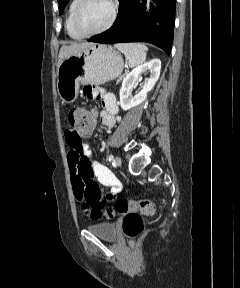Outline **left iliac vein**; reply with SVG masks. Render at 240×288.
Segmentation results:
<instances>
[{
	"instance_id": "left-iliac-vein-1",
	"label": "left iliac vein",
	"mask_w": 240,
	"mask_h": 288,
	"mask_svg": "<svg viewBox=\"0 0 240 288\" xmlns=\"http://www.w3.org/2000/svg\"><path fill=\"white\" fill-rule=\"evenodd\" d=\"M114 162H115V164H116L117 166H120L121 163H122L121 158H120L119 156H116V157H115Z\"/></svg>"
}]
</instances>
